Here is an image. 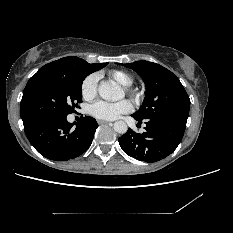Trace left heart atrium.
<instances>
[{"label": "left heart atrium", "mask_w": 233, "mask_h": 233, "mask_svg": "<svg viewBox=\"0 0 233 233\" xmlns=\"http://www.w3.org/2000/svg\"><path fill=\"white\" fill-rule=\"evenodd\" d=\"M132 104L128 100L118 102H108L99 100L90 106L92 116L100 120H115L121 115L129 113L132 110Z\"/></svg>", "instance_id": "left-heart-atrium-1"}]
</instances>
